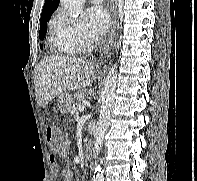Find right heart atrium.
I'll use <instances>...</instances> for the list:
<instances>
[{
  "instance_id": "d8ad5b80",
  "label": "right heart atrium",
  "mask_w": 197,
  "mask_h": 181,
  "mask_svg": "<svg viewBox=\"0 0 197 181\" xmlns=\"http://www.w3.org/2000/svg\"><path fill=\"white\" fill-rule=\"evenodd\" d=\"M58 19L78 52H88L96 45L98 38L81 20L70 18L62 14Z\"/></svg>"
}]
</instances>
